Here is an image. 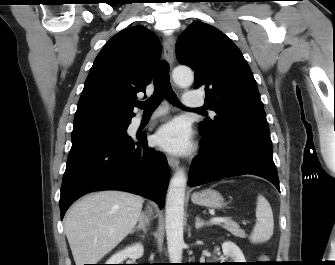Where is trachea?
I'll return each mask as SVG.
<instances>
[{"label":"trachea","instance_id":"3493384b","mask_svg":"<svg viewBox=\"0 0 335 265\" xmlns=\"http://www.w3.org/2000/svg\"><path fill=\"white\" fill-rule=\"evenodd\" d=\"M166 98L170 103L180 106V102L174 93L169 78V66L166 62H161L154 77V93L145 102H139L137 107L143 109L145 113L153 112ZM201 111V109H197Z\"/></svg>","mask_w":335,"mask_h":265}]
</instances>
